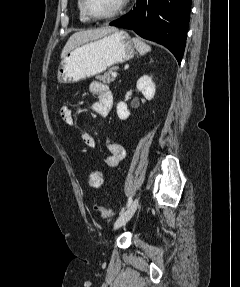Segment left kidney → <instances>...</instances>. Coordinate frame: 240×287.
I'll return each instance as SVG.
<instances>
[{
    "mask_svg": "<svg viewBox=\"0 0 240 287\" xmlns=\"http://www.w3.org/2000/svg\"><path fill=\"white\" fill-rule=\"evenodd\" d=\"M137 89L142 92L144 97L147 100H152L155 95L156 86L155 83L152 81V77L148 75H144L140 77L137 81ZM117 115L121 120H126L130 113L127 109V105L124 102H119L117 104Z\"/></svg>",
    "mask_w": 240,
    "mask_h": 287,
    "instance_id": "left-kidney-1",
    "label": "left kidney"
}]
</instances>
